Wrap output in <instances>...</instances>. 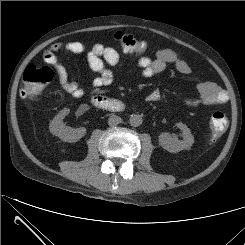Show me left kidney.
<instances>
[{
	"label": "left kidney",
	"mask_w": 245,
	"mask_h": 245,
	"mask_svg": "<svg viewBox=\"0 0 245 245\" xmlns=\"http://www.w3.org/2000/svg\"><path fill=\"white\" fill-rule=\"evenodd\" d=\"M176 126L182 131L183 140H178L176 136L163 133L159 136L160 145L167 151L177 153L183 149L190 148L194 143V137L190 129L183 123L179 122Z\"/></svg>",
	"instance_id": "obj_1"
}]
</instances>
